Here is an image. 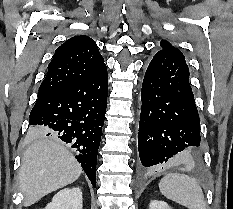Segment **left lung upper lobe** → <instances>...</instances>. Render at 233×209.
<instances>
[{"instance_id":"5c2ea615","label":"left lung upper lobe","mask_w":233,"mask_h":209,"mask_svg":"<svg viewBox=\"0 0 233 209\" xmlns=\"http://www.w3.org/2000/svg\"><path fill=\"white\" fill-rule=\"evenodd\" d=\"M160 45L162 47L161 52H168V53L177 55L181 58H184V55L181 53V51L176 49L174 46H172L168 41L162 40L160 42Z\"/></svg>"}]
</instances>
